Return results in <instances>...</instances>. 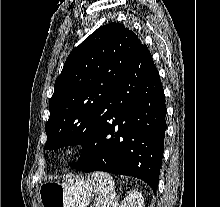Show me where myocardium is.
<instances>
[{
	"mask_svg": "<svg viewBox=\"0 0 220 207\" xmlns=\"http://www.w3.org/2000/svg\"><path fill=\"white\" fill-rule=\"evenodd\" d=\"M80 146L76 143H68L59 151V160L64 163L73 161L80 153Z\"/></svg>",
	"mask_w": 220,
	"mask_h": 207,
	"instance_id": "1",
	"label": "myocardium"
}]
</instances>
